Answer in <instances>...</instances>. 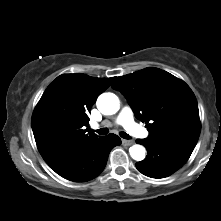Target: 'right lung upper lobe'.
Masks as SVG:
<instances>
[{
	"mask_svg": "<svg viewBox=\"0 0 221 221\" xmlns=\"http://www.w3.org/2000/svg\"><path fill=\"white\" fill-rule=\"evenodd\" d=\"M114 79L63 74L47 87L31 120L37 148L45 161L75 151L98 138L85 129L89 123L87 114Z\"/></svg>",
	"mask_w": 221,
	"mask_h": 221,
	"instance_id": "obj_1",
	"label": "right lung upper lobe"
}]
</instances>
